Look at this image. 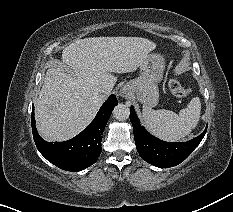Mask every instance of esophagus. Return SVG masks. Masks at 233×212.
<instances>
[{
  "label": "esophagus",
  "instance_id": "34e87169",
  "mask_svg": "<svg viewBox=\"0 0 233 212\" xmlns=\"http://www.w3.org/2000/svg\"><path fill=\"white\" fill-rule=\"evenodd\" d=\"M129 89L127 87H123L120 92H119V95L121 97H128L129 96Z\"/></svg>",
  "mask_w": 233,
  "mask_h": 212
}]
</instances>
